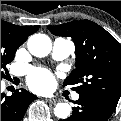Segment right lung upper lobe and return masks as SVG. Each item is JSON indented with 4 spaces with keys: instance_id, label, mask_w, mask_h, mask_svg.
<instances>
[{
    "instance_id": "cb5924a9",
    "label": "right lung upper lobe",
    "mask_w": 121,
    "mask_h": 121,
    "mask_svg": "<svg viewBox=\"0 0 121 121\" xmlns=\"http://www.w3.org/2000/svg\"><path fill=\"white\" fill-rule=\"evenodd\" d=\"M1 26L7 27L9 30H11L16 36H18L20 39H22L24 42L26 41L27 37L34 32H36L39 28V26H32V27H21L16 26L11 23L5 22L1 20Z\"/></svg>"
}]
</instances>
